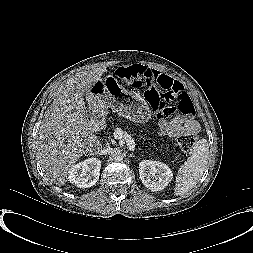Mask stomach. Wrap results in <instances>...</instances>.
<instances>
[{
    "label": "stomach",
    "instance_id": "stomach-1",
    "mask_svg": "<svg viewBox=\"0 0 253 253\" xmlns=\"http://www.w3.org/2000/svg\"><path fill=\"white\" fill-rule=\"evenodd\" d=\"M112 76L104 80H98L86 93L88 103L94 109L112 108L120 116L134 122H147L150 119V111L146 101L139 95L126 93Z\"/></svg>",
    "mask_w": 253,
    "mask_h": 253
}]
</instances>
